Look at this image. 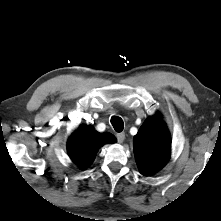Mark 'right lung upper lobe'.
<instances>
[{
  "label": "right lung upper lobe",
  "instance_id": "1",
  "mask_svg": "<svg viewBox=\"0 0 221 221\" xmlns=\"http://www.w3.org/2000/svg\"><path fill=\"white\" fill-rule=\"evenodd\" d=\"M115 141L111 133H99L92 126H81L69 137L67 150L73 162L84 168L92 163L100 146Z\"/></svg>",
  "mask_w": 221,
  "mask_h": 221
}]
</instances>
